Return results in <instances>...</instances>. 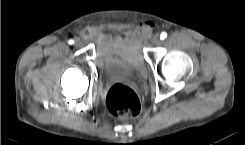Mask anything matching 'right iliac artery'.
Returning <instances> with one entry per match:
<instances>
[{"label": "right iliac artery", "mask_w": 245, "mask_h": 145, "mask_svg": "<svg viewBox=\"0 0 245 145\" xmlns=\"http://www.w3.org/2000/svg\"><path fill=\"white\" fill-rule=\"evenodd\" d=\"M68 43H69L70 45H72V44L74 43V41H73L72 39H70V40L68 41Z\"/></svg>", "instance_id": "right-iliac-artery-1"}]
</instances>
